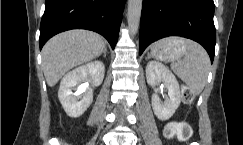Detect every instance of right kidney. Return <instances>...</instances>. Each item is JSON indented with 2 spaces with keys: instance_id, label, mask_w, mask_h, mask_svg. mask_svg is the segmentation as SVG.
<instances>
[{
  "instance_id": "right-kidney-1",
  "label": "right kidney",
  "mask_w": 243,
  "mask_h": 145,
  "mask_svg": "<svg viewBox=\"0 0 243 145\" xmlns=\"http://www.w3.org/2000/svg\"><path fill=\"white\" fill-rule=\"evenodd\" d=\"M104 73V64L93 61L77 67L62 78L58 98L68 116L77 118L87 110L93 100L92 87L102 83ZM82 91L84 94L80 96Z\"/></svg>"
}]
</instances>
